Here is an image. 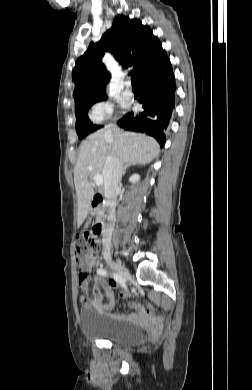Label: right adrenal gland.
Wrapping results in <instances>:
<instances>
[{"instance_id": "right-adrenal-gland-1", "label": "right adrenal gland", "mask_w": 252, "mask_h": 390, "mask_svg": "<svg viewBox=\"0 0 252 390\" xmlns=\"http://www.w3.org/2000/svg\"><path fill=\"white\" fill-rule=\"evenodd\" d=\"M132 165H135V164H126V165H125V167H124V169H123V173H122L123 176L125 175L126 170H127L130 166H132Z\"/></svg>"}]
</instances>
